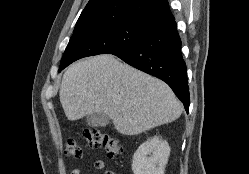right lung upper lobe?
I'll return each instance as SVG.
<instances>
[{
	"instance_id": "1",
	"label": "right lung upper lobe",
	"mask_w": 249,
	"mask_h": 174,
	"mask_svg": "<svg viewBox=\"0 0 249 174\" xmlns=\"http://www.w3.org/2000/svg\"><path fill=\"white\" fill-rule=\"evenodd\" d=\"M171 16L167 0H90L74 32L125 21L148 24Z\"/></svg>"
}]
</instances>
